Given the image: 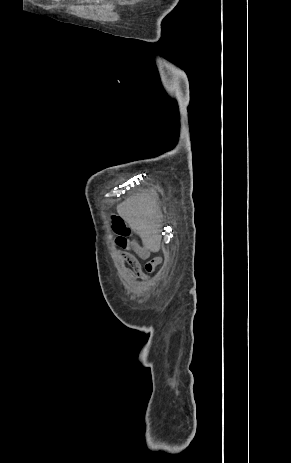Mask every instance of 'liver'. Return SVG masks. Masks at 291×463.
Listing matches in <instances>:
<instances>
[{
  "instance_id": "6515ba94",
  "label": "liver",
  "mask_w": 291,
  "mask_h": 463,
  "mask_svg": "<svg viewBox=\"0 0 291 463\" xmlns=\"http://www.w3.org/2000/svg\"><path fill=\"white\" fill-rule=\"evenodd\" d=\"M118 214L142 239L146 250L157 252L160 249V215L156 200L149 193L127 198L117 205Z\"/></svg>"
}]
</instances>
